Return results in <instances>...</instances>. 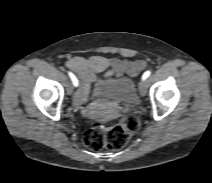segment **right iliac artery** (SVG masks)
Instances as JSON below:
<instances>
[{
    "instance_id": "obj_1",
    "label": "right iliac artery",
    "mask_w": 212,
    "mask_h": 183,
    "mask_svg": "<svg viewBox=\"0 0 212 183\" xmlns=\"http://www.w3.org/2000/svg\"><path fill=\"white\" fill-rule=\"evenodd\" d=\"M68 74H69V76H70V78H71V80L73 82V85L74 86H78L79 82H78V79L76 78V76L73 73H71V72H69Z\"/></svg>"
}]
</instances>
